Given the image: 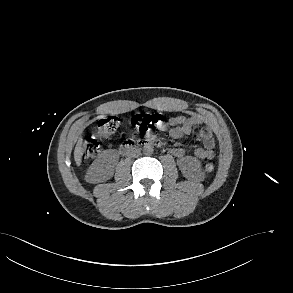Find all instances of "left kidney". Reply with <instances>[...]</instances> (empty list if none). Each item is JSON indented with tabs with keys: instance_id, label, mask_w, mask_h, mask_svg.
<instances>
[{
	"instance_id": "5707ae66",
	"label": "left kidney",
	"mask_w": 293,
	"mask_h": 293,
	"mask_svg": "<svg viewBox=\"0 0 293 293\" xmlns=\"http://www.w3.org/2000/svg\"><path fill=\"white\" fill-rule=\"evenodd\" d=\"M177 164L187 179L201 180L203 178L201 162L197 158L183 157L178 160Z\"/></svg>"
}]
</instances>
